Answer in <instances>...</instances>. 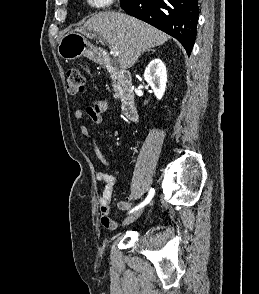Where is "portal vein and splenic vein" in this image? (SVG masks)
<instances>
[{
    "label": "portal vein and splenic vein",
    "instance_id": "portal-vein-and-splenic-vein-1",
    "mask_svg": "<svg viewBox=\"0 0 259 294\" xmlns=\"http://www.w3.org/2000/svg\"><path fill=\"white\" fill-rule=\"evenodd\" d=\"M111 53L113 54L114 57H118L120 54L119 50L114 46L111 47Z\"/></svg>",
    "mask_w": 259,
    "mask_h": 294
}]
</instances>
